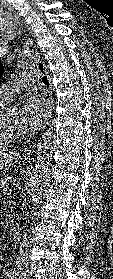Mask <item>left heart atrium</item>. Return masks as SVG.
<instances>
[{
    "mask_svg": "<svg viewBox=\"0 0 113 279\" xmlns=\"http://www.w3.org/2000/svg\"><path fill=\"white\" fill-rule=\"evenodd\" d=\"M50 113L49 101L46 98L30 97L21 109L23 131L34 132L47 121Z\"/></svg>",
    "mask_w": 113,
    "mask_h": 279,
    "instance_id": "left-heart-atrium-1",
    "label": "left heart atrium"
}]
</instances>
